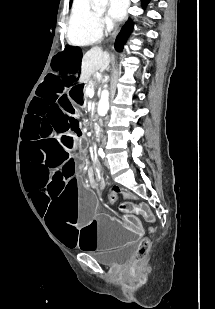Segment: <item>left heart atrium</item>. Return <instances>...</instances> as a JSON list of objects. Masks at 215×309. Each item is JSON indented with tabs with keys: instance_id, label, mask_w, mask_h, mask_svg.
Listing matches in <instances>:
<instances>
[{
	"instance_id": "1",
	"label": "left heart atrium",
	"mask_w": 215,
	"mask_h": 309,
	"mask_svg": "<svg viewBox=\"0 0 215 309\" xmlns=\"http://www.w3.org/2000/svg\"><path fill=\"white\" fill-rule=\"evenodd\" d=\"M109 5L112 7L108 12V20L116 22L120 20L122 12H128L129 7L125 5V0H109Z\"/></svg>"
}]
</instances>
